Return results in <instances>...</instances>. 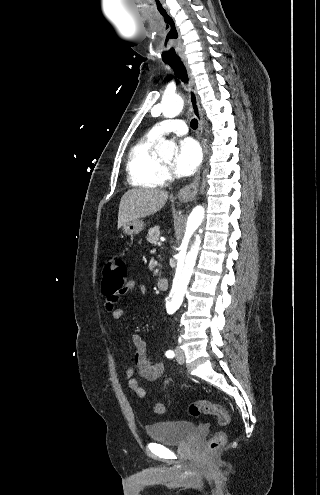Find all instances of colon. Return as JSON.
I'll use <instances>...</instances> for the list:
<instances>
[{"label":"colon","instance_id":"5ec220e1","mask_svg":"<svg viewBox=\"0 0 320 495\" xmlns=\"http://www.w3.org/2000/svg\"><path fill=\"white\" fill-rule=\"evenodd\" d=\"M127 279V268L123 260L118 257L110 258L103 270V282L102 290L105 294L112 292H122ZM153 410L156 414H163L165 412V406L157 402L153 405ZM189 413L193 417H199L201 415H212L217 418L220 426H226L229 421V414L227 410L220 404L211 402L206 399H200L192 402L189 406ZM226 441V434L223 431L217 432L208 441V450L213 452L219 449Z\"/></svg>","mask_w":320,"mask_h":495}]
</instances>
